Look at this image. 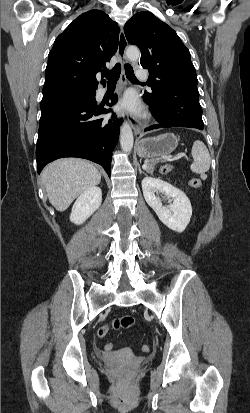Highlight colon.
Masks as SVG:
<instances>
[{"mask_svg":"<svg viewBox=\"0 0 250 413\" xmlns=\"http://www.w3.org/2000/svg\"><path fill=\"white\" fill-rule=\"evenodd\" d=\"M172 170H173V166L170 165V164L163 165L160 168V172L162 174L170 173ZM202 184L203 183H202V180L200 178H192L189 181V185L192 188H200V187H202ZM135 322H136L135 318L131 315H124V316L116 317L113 320V322H109V323L108 322H101L99 324L98 335L100 337H105L108 334L110 328L127 329V328H130V327H133L135 325ZM115 347H116V344L113 341H110V342L108 341V342L104 343L103 350L106 353H109V352H112ZM141 350L143 352L147 353V352L150 351V346L145 344L141 347ZM119 377L122 378L123 376L120 374Z\"/></svg>","mask_w":250,"mask_h":413,"instance_id":"obj_1","label":"colon"}]
</instances>
